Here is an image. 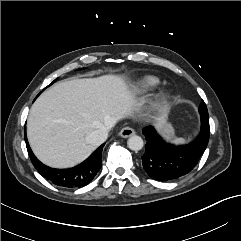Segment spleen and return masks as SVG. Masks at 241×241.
Returning a JSON list of instances; mask_svg holds the SVG:
<instances>
[{
    "label": "spleen",
    "instance_id": "spleen-1",
    "mask_svg": "<svg viewBox=\"0 0 241 241\" xmlns=\"http://www.w3.org/2000/svg\"><path fill=\"white\" fill-rule=\"evenodd\" d=\"M184 141H185V140H184L183 138H176V139L173 140V142H174V143H177V144L183 143Z\"/></svg>",
    "mask_w": 241,
    "mask_h": 241
}]
</instances>
